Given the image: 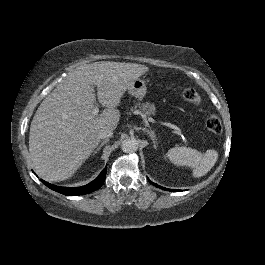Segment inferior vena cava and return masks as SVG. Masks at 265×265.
Wrapping results in <instances>:
<instances>
[{"label": "inferior vena cava", "mask_w": 265, "mask_h": 265, "mask_svg": "<svg viewBox=\"0 0 265 265\" xmlns=\"http://www.w3.org/2000/svg\"><path fill=\"white\" fill-rule=\"evenodd\" d=\"M112 135H113V132L109 128L102 129L99 131V138L100 139L109 138V137H112Z\"/></svg>", "instance_id": "obj_1"}]
</instances>
